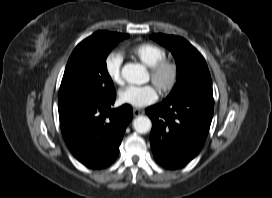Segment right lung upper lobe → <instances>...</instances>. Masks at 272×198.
Masks as SVG:
<instances>
[{
    "label": "right lung upper lobe",
    "instance_id": "1",
    "mask_svg": "<svg viewBox=\"0 0 272 198\" xmlns=\"http://www.w3.org/2000/svg\"><path fill=\"white\" fill-rule=\"evenodd\" d=\"M109 34H114L113 32H107V31H97L96 33H94L93 35H91L90 37H88L87 39H85L84 41H82L75 49L73 52H75L79 47H81L82 45H84L85 43L89 42L90 40L96 38V37H100V36H104V35H109Z\"/></svg>",
    "mask_w": 272,
    "mask_h": 198
}]
</instances>
